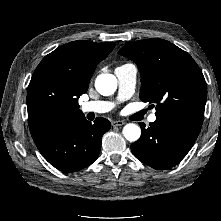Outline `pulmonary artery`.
<instances>
[{"label": "pulmonary artery", "instance_id": "e3ab8cb5", "mask_svg": "<svg viewBox=\"0 0 221 221\" xmlns=\"http://www.w3.org/2000/svg\"><path fill=\"white\" fill-rule=\"evenodd\" d=\"M115 75L118 79V100L124 101L129 99L135 90L137 69L133 64H125L115 69ZM114 107V103L110 101H89L81 106L84 113H106ZM156 121V115L151 114L148 122L153 123Z\"/></svg>", "mask_w": 221, "mask_h": 221}]
</instances>
